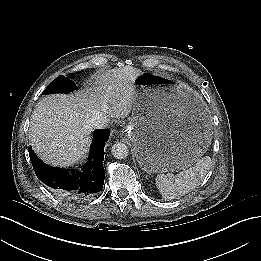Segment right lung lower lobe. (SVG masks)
<instances>
[{
	"instance_id": "right-lung-lower-lobe-1",
	"label": "right lung lower lobe",
	"mask_w": 261,
	"mask_h": 261,
	"mask_svg": "<svg viewBox=\"0 0 261 261\" xmlns=\"http://www.w3.org/2000/svg\"><path fill=\"white\" fill-rule=\"evenodd\" d=\"M109 135V130H100L94 135L89 161L82 169L83 172H69L66 169L48 166L38 159L30 147L29 155L38 179L54 193L72 200L84 199L99 192L104 183V146Z\"/></svg>"
}]
</instances>
